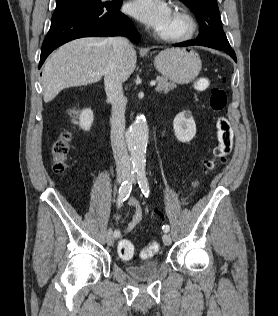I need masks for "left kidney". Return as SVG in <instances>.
<instances>
[{"instance_id": "left-kidney-1", "label": "left kidney", "mask_w": 278, "mask_h": 316, "mask_svg": "<svg viewBox=\"0 0 278 316\" xmlns=\"http://www.w3.org/2000/svg\"><path fill=\"white\" fill-rule=\"evenodd\" d=\"M173 128L177 139L183 143L190 142L196 134V124L193 117L181 112L174 118Z\"/></svg>"}]
</instances>
